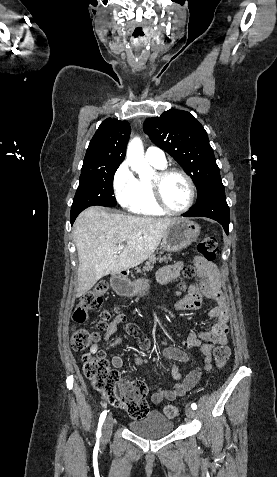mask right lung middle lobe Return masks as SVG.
Instances as JSON below:
<instances>
[{"label": "right lung middle lobe", "instance_id": "obj_1", "mask_svg": "<svg viewBox=\"0 0 277 477\" xmlns=\"http://www.w3.org/2000/svg\"><path fill=\"white\" fill-rule=\"evenodd\" d=\"M117 168L118 166L81 171L79 186L71 207V224L78 214L89 206H116L117 202L113 196V178Z\"/></svg>", "mask_w": 277, "mask_h": 477}]
</instances>
